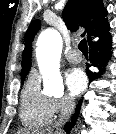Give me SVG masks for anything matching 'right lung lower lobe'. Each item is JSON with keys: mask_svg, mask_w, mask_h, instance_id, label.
Here are the masks:
<instances>
[{"mask_svg": "<svg viewBox=\"0 0 116 134\" xmlns=\"http://www.w3.org/2000/svg\"><path fill=\"white\" fill-rule=\"evenodd\" d=\"M109 31V30H108ZM104 33L99 37L100 42H91L89 43L90 47V61L95 64L99 65V68H101V64H106L108 60L111 57V37L109 32ZM87 75L89 78V81H93L96 77H98L97 74H94L93 72L87 70ZM99 74H101V71H99ZM82 100L77 105L76 111L74 116L72 117V122H69L65 125V131L67 133H70L71 128L75 125L76 118L79 113L80 105Z\"/></svg>", "mask_w": 116, "mask_h": 134, "instance_id": "1", "label": "right lung lower lobe"}]
</instances>
